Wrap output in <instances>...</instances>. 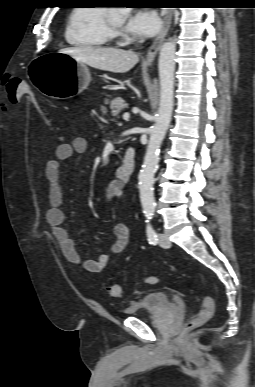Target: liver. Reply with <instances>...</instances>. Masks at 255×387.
Returning a JSON list of instances; mask_svg holds the SVG:
<instances>
[{
    "label": "liver",
    "mask_w": 255,
    "mask_h": 387,
    "mask_svg": "<svg viewBox=\"0 0 255 387\" xmlns=\"http://www.w3.org/2000/svg\"><path fill=\"white\" fill-rule=\"evenodd\" d=\"M59 53L70 55L95 69L113 73H126L139 61L138 55L133 51L117 48L82 46L61 49Z\"/></svg>",
    "instance_id": "obj_1"
}]
</instances>
